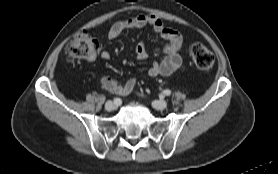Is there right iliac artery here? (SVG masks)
<instances>
[{"label":"right iliac artery","mask_w":278,"mask_h":174,"mask_svg":"<svg viewBox=\"0 0 278 174\" xmlns=\"http://www.w3.org/2000/svg\"><path fill=\"white\" fill-rule=\"evenodd\" d=\"M121 99L120 98H114V103L116 104V105H120L121 104Z\"/></svg>","instance_id":"82829eb1"}]
</instances>
